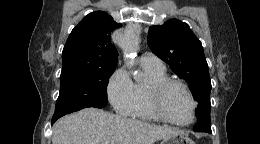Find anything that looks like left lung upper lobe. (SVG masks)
<instances>
[{"mask_svg":"<svg viewBox=\"0 0 260 144\" xmlns=\"http://www.w3.org/2000/svg\"><path fill=\"white\" fill-rule=\"evenodd\" d=\"M148 45L152 52L185 79L199 106L195 131L211 132V81L202 44L189 28L177 19L149 28Z\"/></svg>","mask_w":260,"mask_h":144,"instance_id":"obj_1","label":"left lung upper lobe"}]
</instances>
